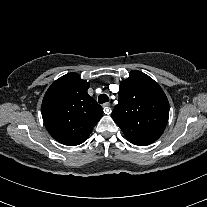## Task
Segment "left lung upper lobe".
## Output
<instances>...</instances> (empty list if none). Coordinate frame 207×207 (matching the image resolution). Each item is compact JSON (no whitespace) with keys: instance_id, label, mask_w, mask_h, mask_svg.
I'll return each mask as SVG.
<instances>
[{"instance_id":"1","label":"left lung upper lobe","mask_w":207,"mask_h":207,"mask_svg":"<svg viewBox=\"0 0 207 207\" xmlns=\"http://www.w3.org/2000/svg\"><path fill=\"white\" fill-rule=\"evenodd\" d=\"M112 118L131 143L148 145L163 133L169 118V103L152 78L133 70L119 86V102Z\"/></svg>"}]
</instances>
